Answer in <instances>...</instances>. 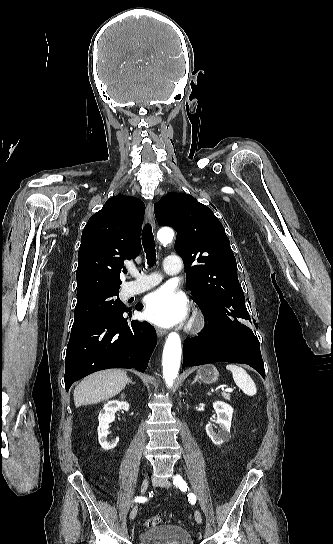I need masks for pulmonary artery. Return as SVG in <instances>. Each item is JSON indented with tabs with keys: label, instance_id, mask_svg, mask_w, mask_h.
<instances>
[{
	"label": "pulmonary artery",
	"instance_id": "e3ab8cb5",
	"mask_svg": "<svg viewBox=\"0 0 333 544\" xmlns=\"http://www.w3.org/2000/svg\"><path fill=\"white\" fill-rule=\"evenodd\" d=\"M182 262L180 257L176 255L167 256L164 260V271L168 275L177 274L181 270ZM136 281L130 282L126 286V294L128 296H134L142 293L161 281V276L157 273L151 275L135 274Z\"/></svg>",
	"mask_w": 333,
	"mask_h": 544
}]
</instances>
